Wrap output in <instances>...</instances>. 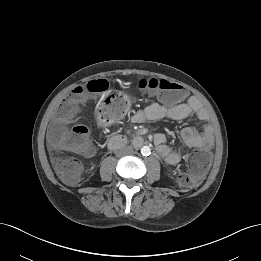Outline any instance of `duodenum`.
Returning <instances> with one entry per match:
<instances>
[{
	"label": "duodenum",
	"mask_w": 261,
	"mask_h": 261,
	"mask_svg": "<svg viewBox=\"0 0 261 261\" xmlns=\"http://www.w3.org/2000/svg\"><path fill=\"white\" fill-rule=\"evenodd\" d=\"M128 140L124 135H115L109 140V147L112 149L121 148L127 144ZM133 144L137 146H141L145 144V139L136 136L133 138Z\"/></svg>",
	"instance_id": "410a0bca"
}]
</instances>
